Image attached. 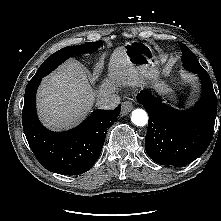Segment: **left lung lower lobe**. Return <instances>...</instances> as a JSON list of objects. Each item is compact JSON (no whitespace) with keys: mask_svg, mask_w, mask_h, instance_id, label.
Returning <instances> with one entry per match:
<instances>
[{"mask_svg":"<svg viewBox=\"0 0 221 221\" xmlns=\"http://www.w3.org/2000/svg\"><path fill=\"white\" fill-rule=\"evenodd\" d=\"M196 74L202 81V96L187 111L180 112L169 107L155 98L148 89L136 97L149 115L146 152L161 165L180 167L191 163L203 154L212 140L217 98L208 73L203 70Z\"/></svg>","mask_w":221,"mask_h":221,"instance_id":"0a47b994","label":"left lung lower lobe"}]
</instances>
